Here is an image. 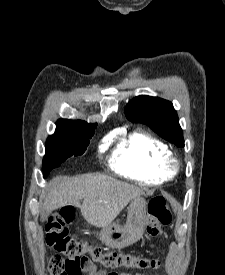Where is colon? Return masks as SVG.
<instances>
[{"mask_svg": "<svg viewBox=\"0 0 225 275\" xmlns=\"http://www.w3.org/2000/svg\"><path fill=\"white\" fill-rule=\"evenodd\" d=\"M71 208H63L53 215L46 225V241L56 250L73 256L74 259H64L55 254L48 258L50 275H93L96 271L95 262L108 268H124L149 270L161 266L158 259L142 258L134 254L117 251H105L85 240L72 237L68 224L74 219ZM172 220V211L162 197L153 198L148 204L146 231L151 236H161L163 227ZM110 275H116L110 272Z\"/></svg>", "mask_w": 225, "mask_h": 275, "instance_id": "obj_1", "label": "colon"}]
</instances>
